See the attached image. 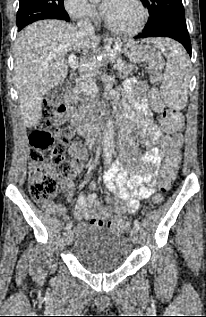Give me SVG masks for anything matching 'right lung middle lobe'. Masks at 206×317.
Wrapping results in <instances>:
<instances>
[{
    "instance_id": "1",
    "label": "right lung middle lobe",
    "mask_w": 206,
    "mask_h": 317,
    "mask_svg": "<svg viewBox=\"0 0 206 317\" xmlns=\"http://www.w3.org/2000/svg\"><path fill=\"white\" fill-rule=\"evenodd\" d=\"M64 0H20L17 12V26L21 30L26 25L42 19H65Z\"/></svg>"
}]
</instances>
